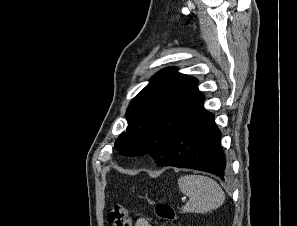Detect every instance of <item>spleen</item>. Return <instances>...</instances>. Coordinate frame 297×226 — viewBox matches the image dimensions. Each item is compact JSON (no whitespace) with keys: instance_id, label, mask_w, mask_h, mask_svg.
I'll return each instance as SVG.
<instances>
[{"instance_id":"spleen-1","label":"spleen","mask_w":297,"mask_h":226,"mask_svg":"<svg viewBox=\"0 0 297 226\" xmlns=\"http://www.w3.org/2000/svg\"><path fill=\"white\" fill-rule=\"evenodd\" d=\"M180 191L189 197L184 212L204 213L220 207L225 194L219 184L203 175H184L178 179Z\"/></svg>"}]
</instances>
